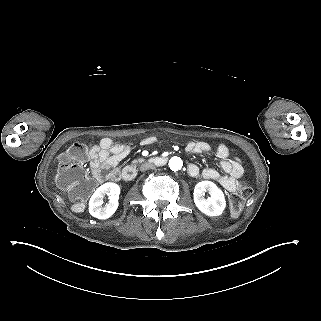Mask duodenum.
Here are the masks:
<instances>
[{
  "instance_id": "410a0bca",
  "label": "duodenum",
  "mask_w": 321,
  "mask_h": 321,
  "mask_svg": "<svg viewBox=\"0 0 321 321\" xmlns=\"http://www.w3.org/2000/svg\"><path fill=\"white\" fill-rule=\"evenodd\" d=\"M167 162V158L165 157H154L149 159V163H152L156 166H163ZM137 174L136 165H130L125 167L121 172V178L124 181H131L135 178Z\"/></svg>"
}]
</instances>
